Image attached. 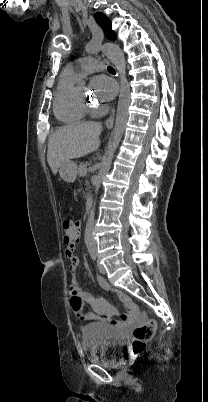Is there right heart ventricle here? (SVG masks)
<instances>
[{
  "instance_id": "1",
  "label": "right heart ventricle",
  "mask_w": 208,
  "mask_h": 402,
  "mask_svg": "<svg viewBox=\"0 0 208 402\" xmlns=\"http://www.w3.org/2000/svg\"><path fill=\"white\" fill-rule=\"evenodd\" d=\"M77 78L63 72L55 92L53 112L56 119L65 126H83L88 112L77 100Z\"/></svg>"
}]
</instances>
